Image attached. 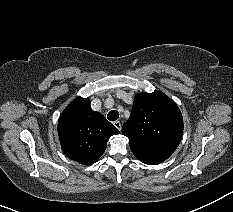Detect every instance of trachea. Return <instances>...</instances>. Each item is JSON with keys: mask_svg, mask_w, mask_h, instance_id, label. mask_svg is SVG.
Instances as JSON below:
<instances>
[{"mask_svg": "<svg viewBox=\"0 0 233 212\" xmlns=\"http://www.w3.org/2000/svg\"><path fill=\"white\" fill-rule=\"evenodd\" d=\"M119 117V113L117 110H111L108 114H107V118L110 121H115L117 120Z\"/></svg>", "mask_w": 233, "mask_h": 212, "instance_id": "obj_1", "label": "trachea"}]
</instances>
